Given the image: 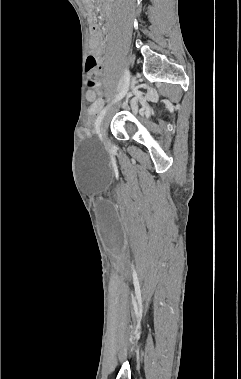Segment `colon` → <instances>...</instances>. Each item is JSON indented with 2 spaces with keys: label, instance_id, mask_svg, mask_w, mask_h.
Instances as JSON below:
<instances>
[{
  "label": "colon",
  "instance_id": "colon-1",
  "mask_svg": "<svg viewBox=\"0 0 241 379\" xmlns=\"http://www.w3.org/2000/svg\"><path fill=\"white\" fill-rule=\"evenodd\" d=\"M93 28H92V32H93ZM127 57H128L129 63L137 62L136 53H129ZM99 73H100V70H99V66L96 59L93 56H89L86 61V75H87L88 87L93 88L96 85L97 79L99 77ZM105 92H106V89L104 87L98 88L99 94H104Z\"/></svg>",
  "mask_w": 241,
  "mask_h": 379
}]
</instances>
